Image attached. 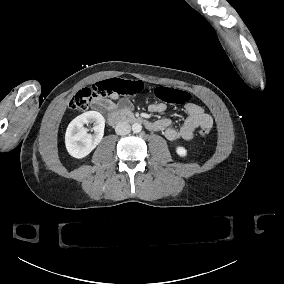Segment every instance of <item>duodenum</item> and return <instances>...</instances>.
<instances>
[{"mask_svg":"<svg viewBox=\"0 0 284 284\" xmlns=\"http://www.w3.org/2000/svg\"><path fill=\"white\" fill-rule=\"evenodd\" d=\"M108 122L111 125H118V124H122L126 122L127 123L142 122V120L129 112L121 113V112L113 111L108 114ZM144 123L147 126L148 124L147 121H145Z\"/></svg>","mask_w":284,"mask_h":284,"instance_id":"1","label":"duodenum"}]
</instances>
